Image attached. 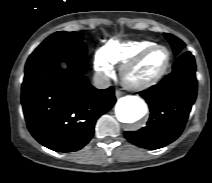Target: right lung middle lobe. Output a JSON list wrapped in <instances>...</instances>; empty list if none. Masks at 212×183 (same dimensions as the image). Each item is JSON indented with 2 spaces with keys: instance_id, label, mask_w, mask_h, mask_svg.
I'll return each mask as SVG.
<instances>
[{
  "instance_id": "right-lung-middle-lobe-1",
  "label": "right lung middle lobe",
  "mask_w": 212,
  "mask_h": 183,
  "mask_svg": "<svg viewBox=\"0 0 212 183\" xmlns=\"http://www.w3.org/2000/svg\"><path fill=\"white\" fill-rule=\"evenodd\" d=\"M82 33L58 31L46 38L30 55V57L45 54L85 55L86 45Z\"/></svg>"
}]
</instances>
